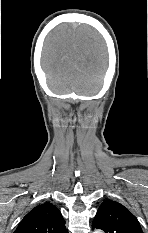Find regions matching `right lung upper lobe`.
<instances>
[{
	"instance_id": "1",
	"label": "right lung upper lobe",
	"mask_w": 148,
	"mask_h": 233,
	"mask_svg": "<svg viewBox=\"0 0 148 233\" xmlns=\"http://www.w3.org/2000/svg\"><path fill=\"white\" fill-rule=\"evenodd\" d=\"M14 233H68L61 212L46 202L33 208Z\"/></svg>"
}]
</instances>
